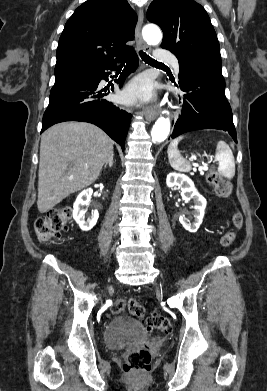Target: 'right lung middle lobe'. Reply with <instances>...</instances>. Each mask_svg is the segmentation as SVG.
<instances>
[{
  "label": "right lung middle lobe",
  "instance_id": "right-lung-middle-lobe-1",
  "mask_svg": "<svg viewBox=\"0 0 267 391\" xmlns=\"http://www.w3.org/2000/svg\"><path fill=\"white\" fill-rule=\"evenodd\" d=\"M78 75H79V74L66 75V76H59V77H56V79H55V84H59V83L68 81V80H70V79H73V78L77 77Z\"/></svg>",
  "mask_w": 267,
  "mask_h": 391
}]
</instances>
